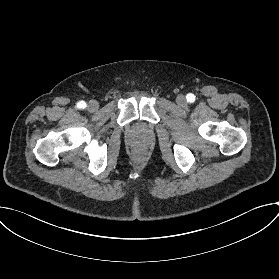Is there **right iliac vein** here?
Returning a JSON list of instances; mask_svg holds the SVG:
<instances>
[{
  "label": "right iliac vein",
  "instance_id": "63e3f726",
  "mask_svg": "<svg viewBox=\"0 0 279 279\" xmlns=\"http://www.w3.org/2000/svg\"><path fill=\"white\" fill-rule=\"evenodd\" d=\"M87 108L89 111L94 112L99 108V103L95 100H92L88 103Z\"/></svg>",
  "mask_w": 279,
  "mask_h": 279
}]
</instances>
